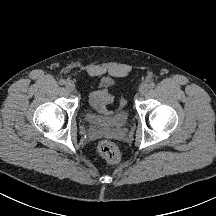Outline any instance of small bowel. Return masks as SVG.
<instances>
[{
    "mask_svg": "<svg viewBox=\"0 0 216 216\" xmlns=\"http://www.w3.org/2000/svg\"><path fill=\"white\" fill-rule=\"evenodd\" d=\"M90 101L96 111L106 114L108 113L107 106L111 103L112 96L106 87H102L91 93Z\"/></svg>",
    "mask_w": 216,
    "mask_h": 216,
    "instance_id": "small-bowel-1",
    "label": "small bowel"
}]
</instances>
